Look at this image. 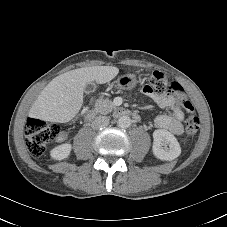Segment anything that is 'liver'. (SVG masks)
<instances>
[{
    "label": "liver",
    "mask_w": 227,
    "mask_h": 227,
    "mask_svg": "<svg viewBox=\"0 0 227 227\" xmlns=\"http://www.w3.org/2000/svg\"><path fill=\"white\" fill-rule=\"evenodd\" d=\"M118 73L117 67L93 66L61 74L42 90L30 110V115L49 122H68L82 107L87 83L96 81L98 84H104Z\"/></svg>",
    "instance_id": "1"
}]
</instances>
